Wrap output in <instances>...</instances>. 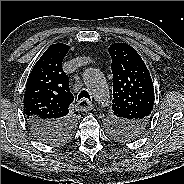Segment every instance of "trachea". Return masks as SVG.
<instances>
[{
	"label": "trachea",
	"mask_w": 184,
	"mask_h": 184,
	"mask_svg": "<svg viewBox=\"0 0 184 184\" xmlns=\"http://www.w3.org/2000/svg\"><path fill=\"white\" fill-rule=\"evenodd\" d=\"M84 98L90 100V95H89V93H88L86 90H82V91L80 92V94L78 95V99H79V100H80V99H84Z\"/></svg>",
	"instance_id": "obj_1"
}]
</instances>
